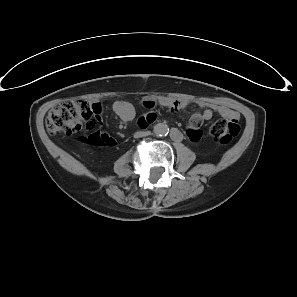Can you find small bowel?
<instances>
[{"label": "small bowel", "mask_w": 297, "mask_h": 297, "mask_svg": "<svg viewBox=\"0 0 297 297\" xmlns=\"http://www.w3.org/2000/svg\"><path fill=\"white\" fill-rule=\"evenodd\" d=\"M159 103L161 106L167 107L172 111L183 110L188 105L186 100H176L171 98H162ZM143 105L146 109L150 110V112L143 115L139 120L140 126L145 128L156 119V114L151 111L155 107L156 103L151 99H146L144 100ZM198 105L204 109L202 112L194 113L192 115L190 126L187 130V135L192 141H198L200 139L202 133L199 129V125L204 121L210 120L214 112H217L226 118L237 117V114L233 110H230L224 106L211 107L209 104L202 101L198 102ZM113 110L124 122H129L135 117V108L127 101L121 100L115 102L113 105Z\"/></svg>", "instance_id": "1"}]
</instances>
